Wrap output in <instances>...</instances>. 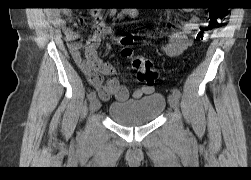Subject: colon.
<instances>
[{
	"label": "colon",
	"mask_w": 251,
	"mask_h": 180,
	"mask_svg": "<svg viewBox=\"0 0 251 180\" xmlns=\"http://www.w3.org/2000/svg\"><path fill=\"white\" fill-rule=\"evenodd\" d=\"M227 16V9H210L206 23H204L196 33V39L199 41H205L211 30L220 27L225 23ZM132 42L133 39L131 36H123L120 38V43L123 46L121 54L123 57L132 59L133 69L136 71L137 77L140 81L147 85H153L158 76L157 70L149 59L144 57H133L132 49L130 48Z\"/></svg>",
	"instance_id": "colon-1"
}]
</instances>
